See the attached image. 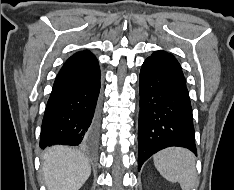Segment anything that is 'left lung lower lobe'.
<instances>
[{
    "mask_svg": "<svg viewBox=\"0 0 234 190\" xmlns=\"http://www.w3.org/2000/svg\"><path fill=\"white\" fill-rule=\"evenodd\" d=\"M138 170L154 153L170 146L197 155L192 107L177 59L156 51L143 63L139 77Z\"/></svg>",
    "mask_w": 234,
    "mask_h": 190,
    "instance_id": "left-lung-lower-lobe-1",
    "label": "left lung lower lobe"
}]
</instances>
